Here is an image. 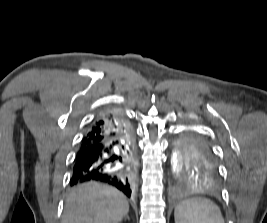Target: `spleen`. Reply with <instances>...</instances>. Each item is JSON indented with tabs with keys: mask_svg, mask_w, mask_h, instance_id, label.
I'll return each mask as SVG.
<instances>
[{
	"mask_svg": "<svg viewBox=\"0 0 267 223\" xmlns=\"http://www.w3.org/2000/svg\"><path fill=\"white\" fill-rule=\"evenodd\" d=\"M175 223H224L220 208L206 198H191L179 203L174 211Z\"/></svg>",
	"mask_w": 267,
	"mask_h": 223,
	"instance_id": "spleen-1",
	"label": "spleen"
}]
</instances>
